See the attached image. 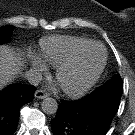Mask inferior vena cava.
I'll return each mask as SVG.
<instances>
[{"instance_id": "inferior-vena-cava-1", "label": "inferior vena cava", "mask_w": 135, "mask_h": 135, "mask_svg": "<svg viewBox=\"0 0 135 135\" xmlns=\"http://www.w3.org/2000/svg\"><path fill=\"white\" fill-rule=\"evenodd\" d=\"M26 78L30 84L37 86L42 79V75L36 70H29L26 72Z\"/></svg>"}]
</instances>
